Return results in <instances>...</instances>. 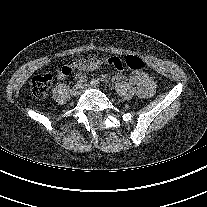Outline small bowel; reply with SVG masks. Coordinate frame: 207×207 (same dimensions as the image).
I'll use <instances>...</instances> for the list:
<instances>
[{"instance_id": "1", "label": "small bowel", "mask_w": 207, "mask_h": 207, "mask_svg": "<svg viewBox=\"0 0 207 207\" xmlns=\"http://www.w3.org/2000/svg\"><path fill=\"white\" fill-rule=\"evenodd\" d=\"M107 62L119 71L122 70L123 68V62L118 57H115V56L111 57L107 60ZM103 63L104 61L100 59H95L89 62L77 61L75 63V67L78 70H82V71H94L100 68L103 65ZM68 74H69V71L68 72H65L62 70L58 71V77L60 79H64ZM117 78L122 83H125V84L130 83V84L135 85L137 95L143 98L150 97L155 90V83L153 79L149 77L147 74H134L130 77L129 81H127L126 78L122 76L121 74H118Z\"/></svg>"}]
</instances>
